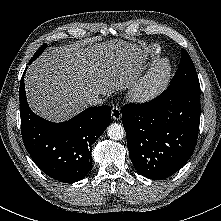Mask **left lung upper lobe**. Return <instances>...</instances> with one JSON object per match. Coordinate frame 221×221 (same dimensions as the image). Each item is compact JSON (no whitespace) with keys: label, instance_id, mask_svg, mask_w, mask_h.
Masks as SVG:
<instances>
[{"label":"left lung upper lobe","instance_id":"left-lung-upper-lobe-1","mask_svg":"<svg viewBox=\"0 0 221 221\" xmlns=\"http://www.w3.org/2000/svg\"><path fill=\"white\" fill-rule=\"evenodd\" d=\"M186 86L200 87V84L192 59L190 58L189 54L182 49L181 61L177 72L170 82V87L177 88Z\"/></svg>","mask_w":221,"mask_h":221}]
</instances>
